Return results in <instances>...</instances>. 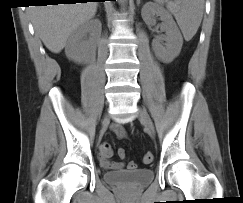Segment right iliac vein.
I'll return each mask as SVG.
<instances>
[{"label": "right iliac vein", "instance_id": "1", "mask_svg": "<svg viewBox=\"0 0 243 203\" xmlns=\"http://www.w3.org/2000/svg\"><path fill=\"white\" fill-rule=\"evenodd\" d=\"M109 122L108 116H105L103 119V124H107Z\"/></svg>", "mask_w": 243, "mask_h": 203}]
</instances>
